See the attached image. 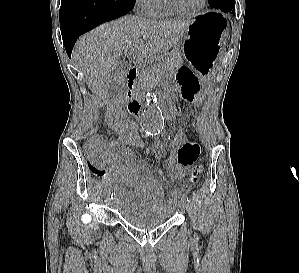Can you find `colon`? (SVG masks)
<instances>
[{
  "mask_svg": "<svg viewBox=\"0 0 299 273\" xmlns=\"http://www.w3.org/2000/svg\"><path fill=\"white\" fill-rule=\"evenodd\" d=\"M187 139V130L183 125H179L177 131L168 138L169 146H176L183 143ZM125 145H133L136 148H146L145 137L139 133L130 142L120 137L115 140H101L99 138H89L85 143V152L88 161V166L92 173L101 177L104 175L103 157L106 151H114L122 148ZM203 172L201 165H196L190 171L186 180L182 185L183 191L192 189L200 179Z\"/></svg>",
  "mask_w": 299,
  "mask_h": 273,
  "instance_id": "colon-1",
  "label": "colon"
}]
</instances>
